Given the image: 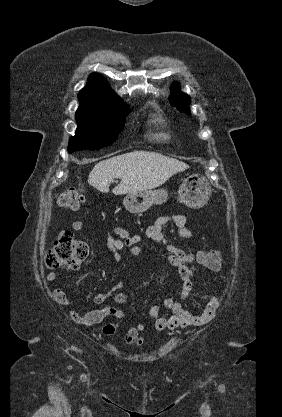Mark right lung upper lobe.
<instances>
[{"instance_id":"right-lung-upper-lobe-1","label":"right lung upper lobe","mask_w":282,"mask_h":417,"mask_svg":"<svg viewBox=\"0 0 282 417\" xmlns=\"http://www.w3.org/2000/svg\"><path fill=\"white\" fill-rule=\"evenodd\" d=\"M119 97L100 74L93 73L88 78L85 88L79 94L80 99Z\"/></svg>"}]
</instances>
